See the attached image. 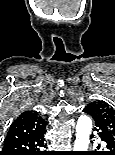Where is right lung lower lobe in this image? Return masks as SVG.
I'll return each instance as SVG.
<instances>
[{
    "instance_id": "98d812e1",
    "label": "right lung lower lobe",
    "mask_w": 115,
    "mask_h": 155,
    "mask_svg": "<svg viewBox=\"0 0 115 155\" xmlns=\"http://www.w3.org/2000/svg\"><path fill=\"white\" fill-rule=\"evenodd\" d=\"M45 133L46 131L20 141L4 144L0 155H50L45 151L47 146Z\"/></svg>"
}]
</instances>
